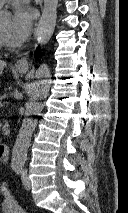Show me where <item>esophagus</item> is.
Returning a JSON list of instances; mask_svg holds the SVG:
<instances>
[{"mask_svg":"<svg viewBox=\"0 0 128 213\" xmlns=\"http://www.w3.org/2000/svg\"><path fill=\"white\" fill-rule=\"evenodd\" d=\"M37 3L39 4L40 8L42 7V0H37ZM15 69L18 70H27L29 67L28 57L23 56L19 60H17L13 66Z\"/></svg>","mask_w":128,"mask_h":213,"instance_id":"esophagus-1","label":"esophagus"}]
</instances>
